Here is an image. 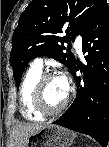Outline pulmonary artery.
<instances>
[{"label": "pulmonary artery", "mask_w": 109, "mask_h": 147, "mask_svg": "<svg viewBox=\"0 0 109 147\" xmlns=\"http://www.w3.org/2000/svg\"><path fill=\"white\" fill-rule=\"evenodd\" d=\"M75 47H76V50L79 54H81L82 56L85 55L82 50V38L80 36L77 37V39L75 41ZM31 66L37 70H42L44 67L43 58H41V57L35 58L32 61Z\"/></svg>", "instance_id": "obj_1"}]
</instances>
